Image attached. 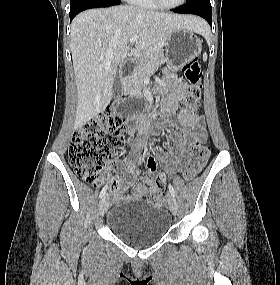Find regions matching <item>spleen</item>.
I'll return each mask as SVG.
<instances>
[{"label": "spleen", "mask_w": 280, "mask_h": 285, "mask_svg": "<svg viewBox=\"0 0 280 285\" xmlns=\"http://www.w3.org/2000/svg\"><path fill=\"white\" fill-rule=\"evenodd\" d=\"M204 31H205V29H204ZM207 53L205 52L204 54H203V61L205 62V61H207Z\"/></svg>", "instance_id": "spleen-1"}]
</instances>
